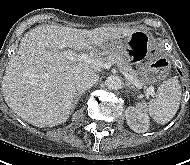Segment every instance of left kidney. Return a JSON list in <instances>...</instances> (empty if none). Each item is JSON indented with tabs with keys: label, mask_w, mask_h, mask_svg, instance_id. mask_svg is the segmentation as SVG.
<instances>
[{
	"label": "left kidney",
	"mask_w": 190,
	"mask_h": 165,
	"mask_svg": "<svg viewBox=\"0 0 190 165\" xmlns=\"http://www.w3.org/2000/svg\"><path fill=\"white\" fill-rule=\"evenodd\" d=\"M125 116L127 124L133 131L144 133L149 129L150 120L146 113L130 106L126 109Z\"/></svg>",
	"instance_id": "1"
}]
</instances>
